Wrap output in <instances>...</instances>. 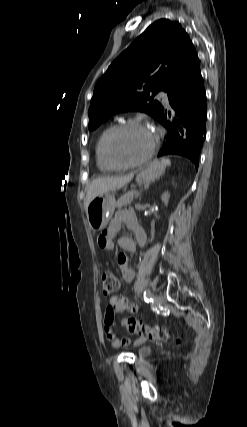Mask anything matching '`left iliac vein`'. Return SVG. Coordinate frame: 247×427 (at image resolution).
I'll use <instances>...</instances> for the list:
<instances>
[{
	"label": "left iliac vein",
	"mask_w": 247,
	"mask_h": 427,
	"mask_svg": "<svg viewBox=\"0 0 247 427\" xmlns=\"http://www.w3.org/2000/svg\"><path fill=\"white\" fill-rule=\"evenodd\" d=\"M154 300H155V302H156L157 304H162V303L164 302V298H163V296H162V295H156V296L154 297Z\"/></svg>",
	"instance_id": "4c4485c4"
}]
</instances>
